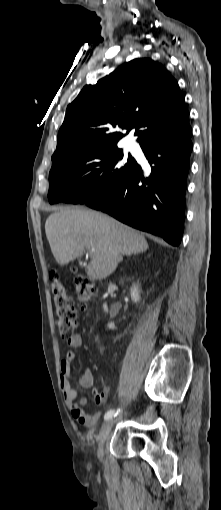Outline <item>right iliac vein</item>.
<instances>
[{
  "mask_svg": "<svg viewBox=\"0 0 221 510\" xmlns=\"http://www.w3.org/2000/svg\"><path fill=\"white\" fill-rule=\"evenodd\" d=\"M113 424H114V420L109 419L103 424V426L101 428V431L98 436V450H97V454H98L99 458H102V456H103V446H104V443L112 429Z\"/></svg>",
  "mask_w": 221,
  "mask_h": 510,
  "instance_id": "63e3f726",
  "label": "right iliac vein"
}]
</instances>
